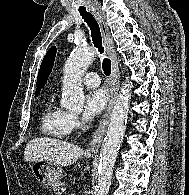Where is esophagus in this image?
Instances as JSON below:
<instances>
[{
	"label": "esophagus",
	"instance_id": "34e87169",
	"mask_svg": "<svg viewBox=\"0 0 189 195\" xmlns=\"http://www.w3.org/2000/svg\"><path fill=\"white\" fill-rule=\"evenodd\" d=\"M93 15L95 16L102 33L103 41L105 44V48L107 51V54L111 60L112 64V72H111V99L109 101V104L107 106V109L102 117V120L100 121V124L98 125L97 130L95 131L92 140L90 141L88 148H87V154H95L98 152L100 145L103 141V137L105 135L107 126L109 124L111 112L113 109V105L116 99V96L118 94L119 90V83H120V75H119V68H118V62H117V55L115 52V46L113 39L111 37L110 31L105 23L104 17L99 12L98 8L94 5L90 7Z\"/></svg>",
	"mask_w": 189,
	"mask_h": 195
}]
</instances>
